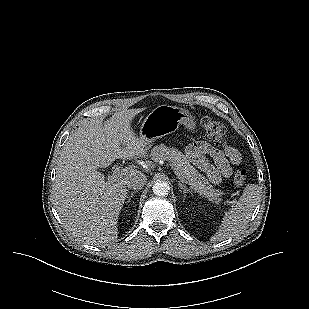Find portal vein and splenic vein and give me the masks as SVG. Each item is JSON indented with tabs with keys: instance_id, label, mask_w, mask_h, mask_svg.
<instances>
[{
	"instance_id": "1",
	"label": "portal vein and splenic vein",
	"mask_w": 309,
	"mask_h": 309,
	"mask_svg": "<svg viewBox=\"0 0 309 309\" xmlns=\"http://www.w3.org/2000/svg\"><path fill=\"white\" fill-rule=\"evenodd\" d=\"M171 166V168L174 170V173L178 176V178L183 181V177L182 174L175 168L173 167V165L169 164ZM132 168L131 167H127V168H121L120 166H117L114 168L113 170V175L117 176V177H121L123 176L128 170H130Z\"/></svg>"
}]
</instances>
